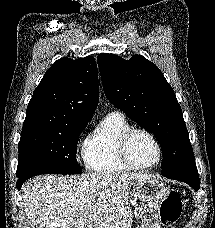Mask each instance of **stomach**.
Wrapping results in <instances>:
<instances>
[{
    "mask_svg": "<svg viewBox=\"0 0 215 228\" xmlns=\"http://www.w3.org/2000/svg\"><path fill=\"white\" fill-rule=\"evenodd\" d=\"M169 194V188L155 178H147L133 186L132 196L139 200L142 208L143 228H162L160 206Z\"/></svg>",
    "mask_w": 215,
    "mask_h": 228,
    "instance_id": "0dacf381",
    "label": "stomach"
}]
</instances>
